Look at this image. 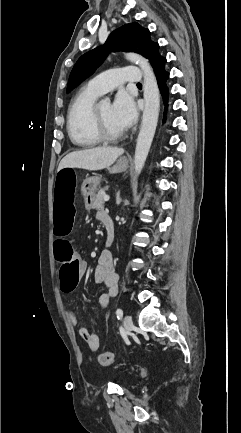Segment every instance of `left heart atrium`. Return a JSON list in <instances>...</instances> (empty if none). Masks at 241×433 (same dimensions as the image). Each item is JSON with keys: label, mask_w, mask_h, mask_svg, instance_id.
Segmentation results:
<instances>
[{"label": "left heart atrium", "mask_w": 241, "mask_h": 433, "mask_svg": "<svg viewBox=\"0 0 241 433\" xmlns=\"http://www.w3.org/2000/svg\"><path fill=\"white\" fill-rule=\"evenodd\" d=\"M111 107L113 118L123 131L136 122L137 108L133 99L127 93H119Z\"/></svg>", "instance_id": "1"}]
</instances>
